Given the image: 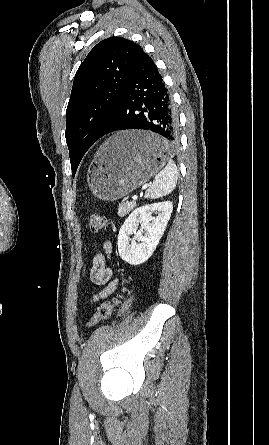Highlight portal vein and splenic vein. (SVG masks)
I'll use <instances>...</instances> for the list:
<instances>
[{
  "mask_svg": "<svg viewBox=\"0 0 269 445\" xmlns=\"http://www.w3.org/2000/svg\"><path fill=\"white\" fill-rule=\"evenodd\" d=\"M148 186H149L148 184L143 185L142 190L146 189ZM137 198H138V195L132 196L133 200H136Z\"/></svg>",
  "mask_w": 269,
  "mask_h": 445,
  "instance_id": "obj_1",
  "label": "portal vein and splenic vein"
}]
</instances>
